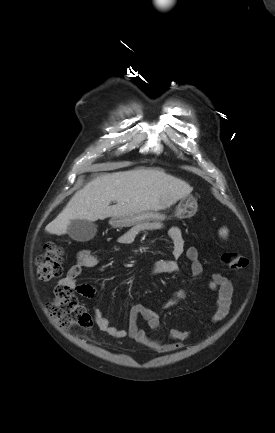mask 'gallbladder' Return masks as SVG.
Listing matches in <instances>:
<instances>
[{"instance_id": "bac80fb5", "label": "gallbladder", "mask_w": 275, "mask_h": 433, "mask_svg": "<svg viewBox=\"0 0 275 433\" xmlns=\"http://www.w3.org/2000/svg\"><path fill=\"white\" fill-rule=\"evenodd\" d=\"M97 232L95 223L88 220H72L67 227L68 235L75 241L87 242L94 238Z\"/></svg>"}]
</instances>
